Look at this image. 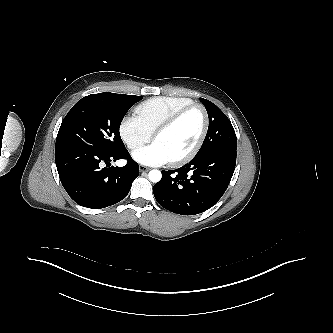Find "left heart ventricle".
I'll list each match as a JSON object with an SVG mask.
<instances>
[{
    "instance_id": "1",
    "label": "left heart ventricle",
    "mask_w": 333,
    "mask_h": 333,
    "mask_svg": "<svg viewBox=\"0 0 333 333\" xmlns=\"http://www.w3.org/2000/svg\"><path fill=\"white\" fill-rule=\"evenodd\" d=\"M203 127V116L199 109L185 114L173 127L155 138L170 160L188 152L196 143Z\"/></svg>"
}]
</instances>
